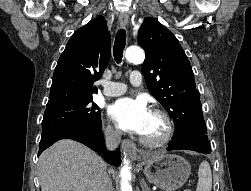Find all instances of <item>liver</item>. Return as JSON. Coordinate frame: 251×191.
Masks as SVG:
<instances>
[{
  "mask_svg": "<svg viewBox=\"0 0 251 191\" xmlns=\"http://www.w3.org/2000/svg\"><path fill=\"white\" fill-rule=\"evenodd\" d=\"M107 163L73 139H60L39 155L41 191H100Z\"/></svg>",
  "mask_w": 251,
  "mask_h": 191,
  "instance_id": "liver-1",
  "label": "liver"
}]
</instances>
